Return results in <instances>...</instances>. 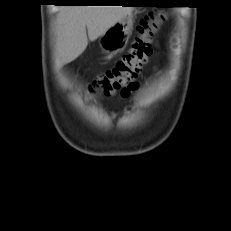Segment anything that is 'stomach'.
<instances>
[{
	"mask_svg": "<svg viewBox=\"0 0 231 231\" xmlns=\"http://www.w3.org/2000/svg\"><path fill=\"white\" fill-rule=\"evenodd\" d=\"M133 27L132 15L124 17L100 36V47L106 53H117L124 49Z\"/></svg>",
	"mask_w": 231,
	"mask_h": 231,
	"instance_id": "0dacf381",
	"label": "stomach"
}]
</instances>
